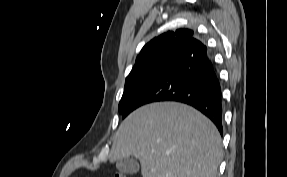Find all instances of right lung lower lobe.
Returning <instances> with one entry per match:
<instances>
[{
    "label": "right lung lower lobe",
    "mask_w": 287,
    "mask_h": 177,
    "mask_svg": "<svg viewBox=\"0 0 287 177\" xmlns=\"http://www.w3.org/2000/svg\"><path fill=\"white\" fill-rule=\"evenodd\" d=\"M200 50L154 80L126 109L123 117L141 105L176 101L193 106L206 115L223 133L222 92L214 63L206 46L197 39Z\"/></svg>",
    "instance_id": "obj_1"
}]
</instances>
